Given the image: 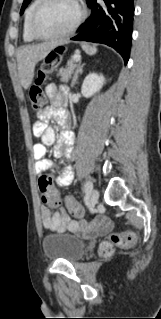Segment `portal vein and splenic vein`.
Instances as JSON below:
<instances>
[{
	"instance_id": "18ae733b",
	"label": "portal vein and splenic vein",
	"mask_w": 161,
	"mask_h": 319,
	"mask_svg": "<svg viewBox=\"0 0 161 319\" xmlns=\"http://www.w3.org/2000/svg\"><path fill=\"white\" fill-rule=\"evenodd\" d=\"M73 58H74L75 61H80L81 56L78 55V54H75Z\"/></svg>"
}]
</instances>
